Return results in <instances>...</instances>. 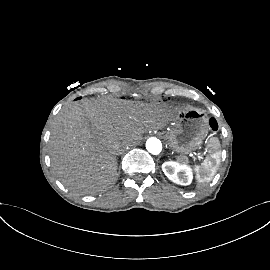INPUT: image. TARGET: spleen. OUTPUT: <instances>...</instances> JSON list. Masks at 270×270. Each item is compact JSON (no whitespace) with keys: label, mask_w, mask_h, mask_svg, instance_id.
<instances>
[{"label":"spleen","mask_w":270,"mask_h":270,"mask_svg":"<svg viewBox=\"0 0 270 270\" xmlns=\"http://www.w3.org/2000/svg\"><path fill=\"white\" fill-rule=\"evenodd\" d=\"M207 149L209 150V158L205 159L200 167L196 168L197 179L199 182H208L212 179V173L217 169L220 162V143L218 139L211 138L208 142ZM183 167H188V163L182 164Z\"/></svg>","instance_id":"3e777b00"}]
</instances>
